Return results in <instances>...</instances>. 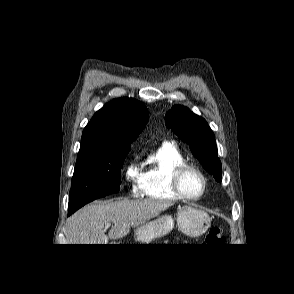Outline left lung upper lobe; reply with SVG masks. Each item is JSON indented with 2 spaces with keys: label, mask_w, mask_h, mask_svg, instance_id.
Returning a JSON list of instances; mask_svg holds the SVG:
<instances>
[{
  "label": "left lung upper lobe",
  "mask_w": 294,
  "mask_h": 294,
  "mask_svg": "<svg viewBox=\"0 0 294 294\" xmlns=\"http://www.w3.org/2000/svg\"><path fill=\"white\" fill-rule=\"evenodd\" d=\"M165 124L189 145L192 154L215 180L221 182L222 168L215 136L205 119L184 106L174 105L165 115Z\"/></svg>",
  "instance_id": "5c2ea615"
}]
</instances>
